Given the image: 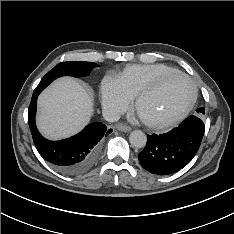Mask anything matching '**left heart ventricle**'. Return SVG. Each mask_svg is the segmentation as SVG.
<instances>
[{
  "label": "left heart ventricle",
  "mask_w": 234,
  "mask_h": 234,
  "mask_svg": "<svg viewBox=\"0 0 234 234\" xmlns=\"http://www.w3.org/2000/svg\"><path fill=\"white\" fill-rule=\"evenodd\" d=\"M192 86L182 77H172L140 104V114L146 119H162L182 111L192 97Z\"/></svg>",
  "instance_id": "b2bd125f"
}]
</instances>
